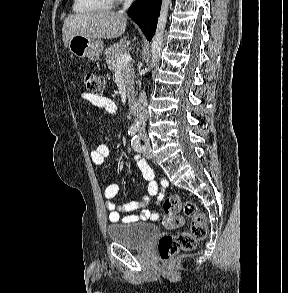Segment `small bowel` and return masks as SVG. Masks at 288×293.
<instances>
[{
	"mask_svg": "<svg viewBox=\"0 0 288 293\" xmlns=\"http://www.w3.org/2000/svg\"><path fill=\"white\" fill-rule=\"evenodd\" d=\"M82 99L88 101L97 108L104 109L107 113L115 115L118 107L116 102L105 95H94L84 92L81 95ZM109 147L105 144H98L90 151V157L94 164L101 165L105 159L109 156ZM134 161L142 173L144 180L147 183V191L149 196H145L141 201H131L123 205L117 204L113 199L119 192V185L117 183L109 184L105 191L104 197L106 199V208L109 212L108 218L111 223H117L119 221L125 223L137 222V221H155L158 219V212L156 210H149L145 207L150 202V197H155L158 201H161L164 194L159 191V185L154 180V173L147 162L139 155L134 157ZM141 209L139 214H130L135 210ZM121 212H126L125 216H121Z\"/></svg>",
	"mask_w": 288,
	"mask_h": 293,
	"instance_id": "c3829d8e",
	"label": "small bowel"
}]
</instances>
